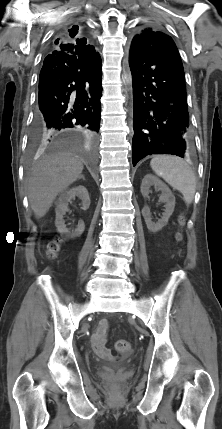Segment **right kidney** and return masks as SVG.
<instances>
[{"label":"right kidney","mask_w":222,"mask_h":429,"mask_svg":"<svg viewBox=\"0 0 222 429\" xmlns=\"http://www.w3.org/2000/svg\"><path fill=\"white\" fill-rule=\"evenodd\" d=\"M75 197H78L82 200V209L86 210L90 206V198L87 189L82 186H75L73 188H70L68 190H64L60 193L59 198L57 200V206H56V220L55 225L57 227V230L61 234L69 233V230L66 228L64 215L66 212L69 211L68 204L71 202V200L75 199ZM85 229V224L82 220L78 222L77 228L71 233V237H78L80 236Z\"/></svg>","instance_id":"ca27d5eb"}]
</instances>
